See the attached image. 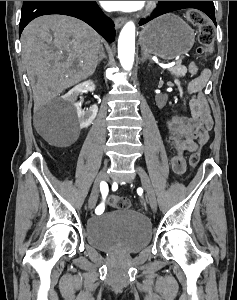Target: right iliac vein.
I'll list each match as a JSON object with an SVG mask.
<instances>
[{
  "label": "right iliac vein",
  "instance_id": "right-iliac-vein-1",
  "mask_svg": "<svg viewBox=\"0 0 237 300\" xmlns=\"http://www.w3.org/2000/svg\"><path fill=\"white\" fill-rule=\"evenodd\" d=\"M106 178H107V172H106V169H103L99 172V174L94 182L92 192H91V195H90V198L88 201L89 208H93L96 205L97 199H98V193H99V185L101 182L105 181Z\"/></svg>",
  "mask_w": 237,
  "mask_h": 300
}]
</instances>
